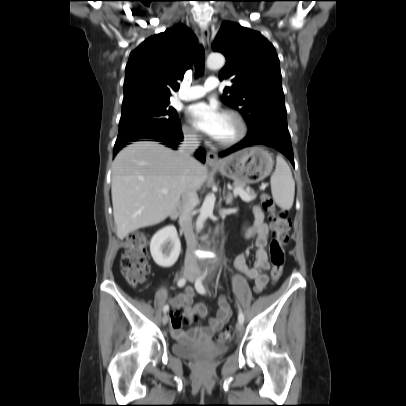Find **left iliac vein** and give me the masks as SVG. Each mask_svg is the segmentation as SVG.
Instances as JSON below:
<instances>
[{
    "instance_id": "obj_1",
    "label": "left iliac vein",
    "mask_w": 406,
    "mask_h": 406,
    "mask_svg": "<svg viewBox=\"0 0 406 406\" xmlns=\"http://www.w3.org/2000/svg\"><path fill=\"white\" fill-rule=\"evenodd\" d=\"M199 276H200L199 272H196L195 274H193V277L190 278V281L195 282L199 278ZM243 328H244L243 323L238 322L236 324V330L237 331L241 332V331H243Z\"/></svg>"
}]
</instances>
